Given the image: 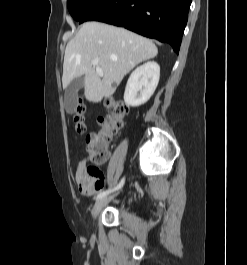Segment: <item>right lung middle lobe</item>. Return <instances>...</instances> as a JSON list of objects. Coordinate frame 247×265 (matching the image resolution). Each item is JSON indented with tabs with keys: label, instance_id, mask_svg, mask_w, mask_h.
Returning <instances> with one entry per match:
<instances>
[{
	"label": "right lung middle lobe",
	"instance_id": "right-lung-middle-lobe-1",
	"mask_svg": "<svg viewBox=\"0 0 247 265\" xmlns=\"http://www.w3.org/2000/svg\"><path fill=\"white\" fill-rule=\"evenodd\" d=\"M99 0H67V6L73 18L79 21Z\"/></svg>",
	"mask_w": 247,
	"mask_h": 265
}]
</instances>
